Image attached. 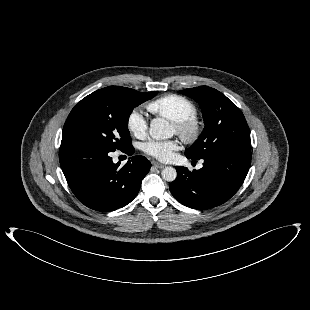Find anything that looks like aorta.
<instances>
[{"label":"aorta","instance_id":"1","mask_svg":"<svg viewBox=\"0 0 310 310\" xmlns=\"http://www.w3.org/2000/svg\"><path fill=\"white\" fill-rule=\"evenodd\" d=\"M149 134L153 139L162 140L173 136V131L169 122L164 118H154L150 123ZM165 181L172 182L177 177V172L173 167H165L161 172Z\"/></svg>","mask_w":310,"mask_h":310}]
</instances>
